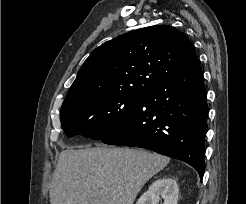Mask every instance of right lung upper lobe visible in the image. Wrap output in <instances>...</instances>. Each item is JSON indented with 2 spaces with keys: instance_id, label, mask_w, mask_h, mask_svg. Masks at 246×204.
I'll use <instances>...</instances> for the list:
<instances>
[{
  "instance_id": "right-lung-upper-lobe-1",
  "label": "right lung upper lobe",
  "mask_w": 246,
  "mask_h": 204,
  "mask_svg": "<svg viewBox=\"0 0 246 204\" xmlns=\"http://www.w3.org/2000/svg\"><path fill=\"white\" fill-rule=\"evenodd\" d=\"M197 60L193 44L171 26L155 25L129 32L92 51L62 108L102 95L142 94Z\"/></svg>"
}]
</instances>
